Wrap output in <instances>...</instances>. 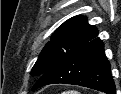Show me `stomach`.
Masks as SVG:
<instances>
[{
    "mask_svg": "<svg viewBox=\"0 0 121 94\" xmlns=\"http://www.w3.org/2000/svg\"><path fill=\"white\" fill-rule=\"evenodd\" d=\"M62 94H80V93L77 91L71 90V91L63 92Z\"/></svg>",
    "mask_w": 121,
    "mask_h": 94,
    "instance_id": "obj_1",
    "label": "stomach"
}]
</instances>
